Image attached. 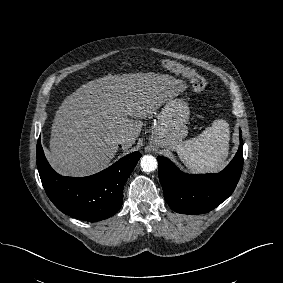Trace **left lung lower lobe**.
<instances>
[{
  "label": "left lung lower lobe",
  "instance_id": "left-lung-lower-lobe-1",
  "mask_svg": "<svg viewBox=\"0 0 283 283\" xmlns=\"http://www.w3.org/2000/svg\"><path fill=\"white\" fill-rule=\"evenodd\" d=\"M157 160L158 176L168 205L181 214H203L216 208L234 191L243 167V145L218 174L187 175L169 159L158 156Z\"/></svg>",
  "mask_w": 283,
  "mask_h": 283
}]
</instances>
